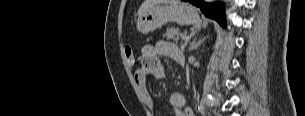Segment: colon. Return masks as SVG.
<instances>
[{"instance_id":"obj_1","label":"colon","mask_w":305,"mask_h":116,"mask_svg":"<svg viewBox=\"0 0 305 116\" xmlns=\"http://www.w3.org/2000/svg\"><path fill=\"white\" fill-rule=\"evenodd\" d=\"M125 56H126L128 64L130 66H132L134 64V53H133V49L130 45L125 46Z\"/></svg>"}]
</instances>
